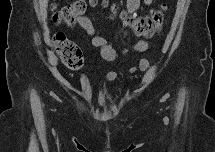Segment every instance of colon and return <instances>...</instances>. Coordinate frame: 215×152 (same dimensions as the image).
<instances>
[{
    "label": "colon",
    "mask_w": 215,
    "mask_h": 152,
    "mask_svg": "<svg viewBox=\"0 0 215 152\" xmlns=\"http://www.w3.org/2000/svg\"><path fill=\"white\" fill-rule=\"evenodd\" d=\"M90 3L93 4L95 1H90ZM87 5L88 2L84 0L74 1L69 6L54 10L53 20L56 24L74 25L77 19L85 13ZM112 9L115 11L116 7ZM165 10L166 6L163 5L150 15L131 16L121 13V18L137 36L150 37L161 30ZM53 43L56 52L67 68L77 70L82 66L83 57L80 48L64 34H56L53 38Z\"/></svg>",
    "instance_id": "colon-1"
}]
</instances>
